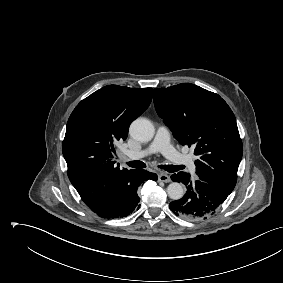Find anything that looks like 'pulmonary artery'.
Segmentation results:
<instances>
[{
  "label": "pulmonary artery",
  "mask_w": 283,
  "mask_h": 283,
  "mask_svg": "<svg viewBox=\"0 0 283 283\" xmlns=\"http://www.w3.org/2000/svg\"><path fill=\"white\" fill-rule=\"evenodd\" d=\"M160 152L169 160L185 165L189 172L195 174V164L189 155L178 152L170 143V133L167 127L161 125L157 128L156 135L152 143L144 150H128L125 152L127 160H135L147 155Z\"/></svg>",
  "instance_id": "obj_1"
}]
</instances>
